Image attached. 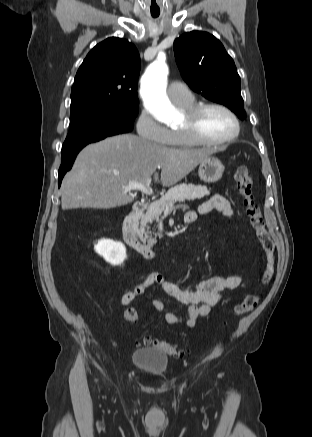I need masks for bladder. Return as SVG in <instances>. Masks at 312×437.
Returning <instances> with one entry per match:
<instances>
[{"label": "bladder", "instance_id": "31cf9c89", "mask_svg": "<svg viewBox=\"0 0 312 437\" xmlns=\"http://www.w3.org/2000/svg\"><path fill=\"white\" fill-rule=\"evenodd\" d=\"M133 365L152 375H162L167 369L168 356L158 348H138L132 355Z\"/></svg>", "mask_w": 312, "mask_h": 437}]
</instances>
